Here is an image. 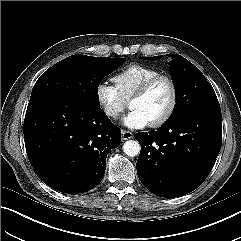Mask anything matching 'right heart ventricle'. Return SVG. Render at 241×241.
Here are the masks:
<instances>
[{"instance_id":"1","label":"right heart ventricle","mask_w":241,"mask_h":241,"mask_svg":"<svg viewBox=\"0 0 241 241\" xmlns=\"http://www.w3.org/2000/svg\"><path fill=\"white\" fill-rule=\"evenodd\" d=\"M159 74L160 71L154 67L133 63L117 72L112 80L121 96L129 99L145 81Z\"/></svg>"}]
</instances>
